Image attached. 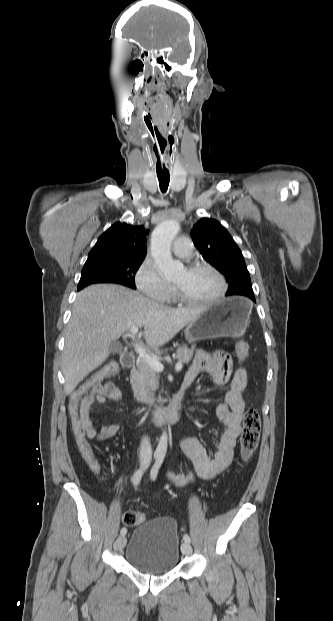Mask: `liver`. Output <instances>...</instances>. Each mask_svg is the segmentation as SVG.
Here are the masks:
<instances>
[{
	"label": "liver",
	"mask_w": 333,
	"mask_h": 621,
	"mask_svg": "<svg viewBox=\"0 0 333 621\" xmlns=\"http://www.w3.org/2000/svg\"><path fill=\"white\" fill-rule=\"evenodd\" d=\"M203 308H169L119 285H92L78 292L62 354L65 394L106 360L111 343L130 328L144 326L147 345L157 349L196 320Z\"/></svg>",
	"instance_id": "obj_1"
}]
</instances>
